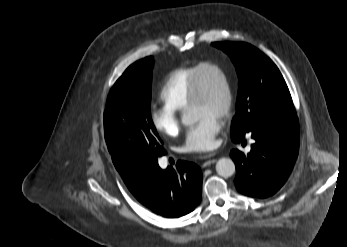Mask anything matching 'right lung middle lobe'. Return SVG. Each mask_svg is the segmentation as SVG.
I'll list each match as a JSON object with an SVG mask.
<instances>
[{"mask_svg":"<svg viewBox=\"0 0 347 247\" xmlns=\"http://www.w3.org/2000/svg\"><path fill=\"white\" fill-rule=\"evenodd\" d=\"M153 58L129 66L112 87L104 114L105 138L119 173L165 154L150 115Z\"/></svg>","mask_w":347,"mask_h":247,"instance_id":"obj_1","label":"right lung middle lobe"}]
</instances>
